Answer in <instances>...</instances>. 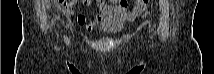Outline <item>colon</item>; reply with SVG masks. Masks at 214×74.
I'll return each mask as SVG.
<instances>
[{
	"label": "colon",
	"instance_id": "1",
	"mask_svg": "<svg viewBox=\"0 0 214 74\" xmlns=\"http://www.w3.org/2000/svg\"><path fill=\"white\" fill-rule=\"evenodd\" d=\"M148 0H137L136 3H138L141 6H145L147 4ZM122 3H126L125 1H122Z\"/></svg>",
	"mask_w": 214,
	"mask_h": 74
}]
</instances>
